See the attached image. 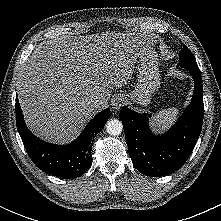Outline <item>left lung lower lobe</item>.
Listing matches in <instances>:
<instances>
[{
    "label": "left lung lower lobe",
    "mask_w": 221,
    "mask_h": 221,
    "mask_svg": "<svg viewBox=\"0 0 221 221\" xmlns=\"http://www.w3.org/2000/svg\"><path fill=\"white\" fill-rule=\"evenodd\" d=\"M194 79L191 103L177 123L163 135H154L147 113L126 107L120 111L126 143L135 168L146 176H163L178 170L192 153L200 135L204 116L203 84L200 72L190 71Z\"/></svg>",
    "instance_id": "left-lung-lower-lobe-1"
}]
</instances>
